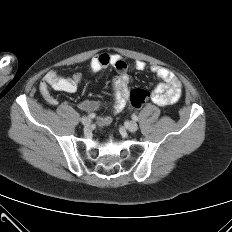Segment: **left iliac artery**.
I'll list each match as a JSON object with an SVG mask.
<instances>
[{
  "label": "left iliac artery",
  "instance_id": "obj_1",
  "mask_svg": "<svg viewBox=\"0 0 232 232\" xmlns=\"http://www.w3.org/2000/svg\"><path fill=\"white\" fill-rule=\"evenodd\" d=\"M132 119H133L134 121H137V120H138V117L134 114V115H132Z\"/></svg>",
  "mask_w": 232,
  "mask_h": 232
}]
</instances>
